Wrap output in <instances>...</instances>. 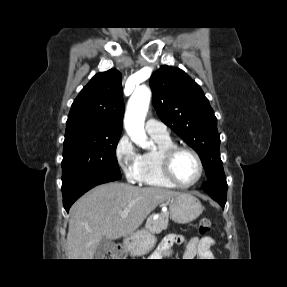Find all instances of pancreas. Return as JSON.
Wrapping results in <instances>:
<instances>
[{
    "label": "pancreas",
    "mask_w": 287,
    "mask_h": 287,
    "mask_svg": "<svg viewBox=\"0 0 287 287\" xmlns=\"http://www.w3.org/2000/svg\"><path fill=\"white\" fill-rule=\"evenodd\" d=\"M169 222V213L162 212L158 218L149 217L146 221L145 228L150 233L159 234L162 230H166Z\"/></svg>",
    "instance_id": "1"
}]
</instances>
